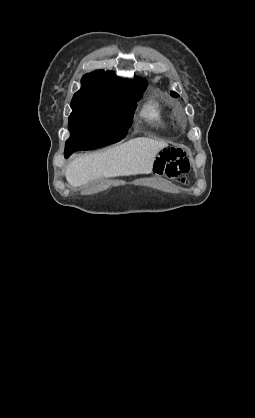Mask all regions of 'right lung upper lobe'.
<instances>
[{
    "label": "right lung upper lobe",
    "mask_w": 255,
    "mask_h": 418,
    "mask_svg": "<svg viewBox=\"0 0 255 418\" xmlns=\"http://www.w3.org/2000/svg\"><path fill=\"white\" fill-rule=\"evenodd\" d=\"M82 87L75 94L89 92L128 93L136 92L147 86L145 80L138 82L115 77L110 71H96L85 74L82 78Z\"/></svg>",
    "instance_id": "1"
}]
</instances>
